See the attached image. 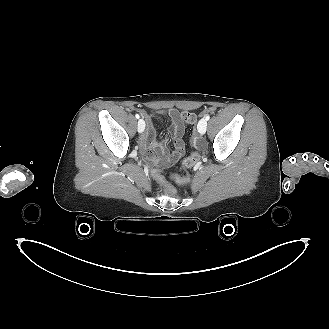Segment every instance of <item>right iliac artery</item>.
<instances>
[{"label":"right iliac artery","mask_w":329,"mask_h":329,"mask_svg":"<svg viewBox=\"0 0 329 329\" xmlns=\"http://www.w3.org/2000/svg\"><path fill=\"white\" fill-rule=\"evenodd\" d=\"M135 117H136L137 119H139V118H140L139 114H136V115H135Z\"/></svg>","instance_id":"obj_1"}]
</instances>
